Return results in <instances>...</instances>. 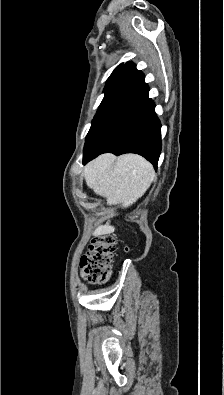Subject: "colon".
Listing matches in <instances>:
<instances>
[{
    "instance_id": "colon-1",
    "label": "colon",
    "mask_w": 224,
    "mask_h": 395,
    "mask_svg": "<svg viewBox=\"0 0 224 395\" xmlns=\"http://www.w3.org/2000/svg\"><path fill=\"white\" fill-rule=\"evenodd\" d=\"M117 239L113 233L95 237L81 259V266L91 281L104 282L110 277Z\"/></svg>"
}]
</instances>
